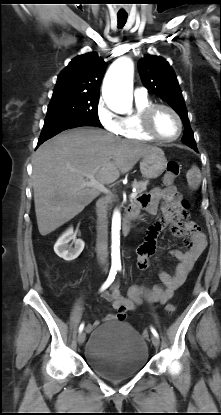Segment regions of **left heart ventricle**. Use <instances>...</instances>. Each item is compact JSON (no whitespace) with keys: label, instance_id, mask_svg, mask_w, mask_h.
I'll list each match as a JSON object with an SVG mask.
<instances>
[{"label":"left heart ventricle","instance_id":"obj_1","mask_svg":"<svg viewBox=\"0 0 221 415\" xmlns=\"http://www.w3.org/2000/svg\"><path fill=\"white\" fill-rule=\"evenodd\" d=\"M155 130L165 138H172L178 132L176 118L166 109H159L154 117Z\"/></svg>","mask_w":221,"mask_h":415}]
</instances>
